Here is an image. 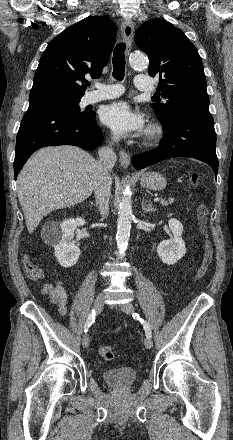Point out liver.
I'll list each match as a JSON object with an SVG mask.
<instances>
[{"label":"liver","mask_w":233,"mask_h":440,"mask_svg":"<svg viewBox=\"0 0 233 440\" xmlns=\"http://www.w3.org/2000/svg\"><path fill=\"white\" fill-rule=\"evenodd\" d=\"M97 173V161L76 146L45 147L34 153L17 178L28 232L33 233L50 212L86 200Z\"/></svg>","instance_id":"liver-1"}]
</instances>
